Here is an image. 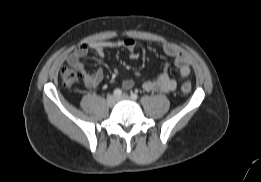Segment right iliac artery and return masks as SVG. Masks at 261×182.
Masks as SVG:
<instances>
[{
  "label": "right iliac artery",
  "mask_w": 261,
  "mask_h": 182,
  "mask_svg": "<svg viewBox=\"0 0 261 182\" xmlns=\"http://www.w3.org/2000/svg\"><path fill=\"white\" fill-rule=\"evenodd\" d=\"M114 96L120 97L122 95V90L117 88L113 91Z\"/></svg>",
  "instance_id": "1"
}]
</instances>
